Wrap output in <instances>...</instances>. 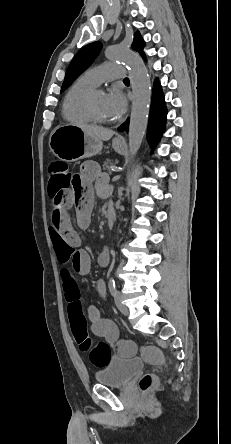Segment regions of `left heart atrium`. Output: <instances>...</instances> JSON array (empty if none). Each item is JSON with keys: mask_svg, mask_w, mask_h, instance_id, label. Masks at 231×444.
Segmentation results:
<instances>
[{"mask_svg": "<svg viewBox=\"0 0 231 444\" xmlns=\"http://www.w3.org/2000/svg\"><path fill=\"white\" fill-rule=\"evenodd\" d=\"M126 105V98L121 90L114 89L106 95V106L113 118L120 117L126 110Z\"/></svg>", "mask_w": 231, "mask_h": 444, "instance_id": "obj_1", "label": "left heart atrium"}]
</instances>
